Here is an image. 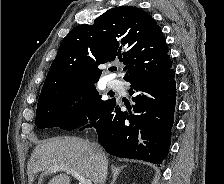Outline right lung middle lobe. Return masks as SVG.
I'll list each match as a JSON object with an SVG mask.
<instances>
[{"mask_svg":"<svg viewBox=\"0 0 224 184\" xmlns=\"http://www.w3.org/2000/svg\"><path fill=\"white\" fill-rule=\"evenodd\" d=\"M94 83L71 85L39 101L36 126L39 129L60 127L72 130L85 125L88 120H96L111 100H101Z\"/></svg>","mask_w":224,"mask_h":184,"instance_id":"1","label":"right lung middle lobe"}]
</instances>
